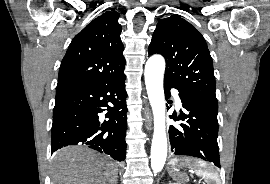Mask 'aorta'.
I'll list each match as a JSON object with an SVG mask.
<instances>
[{
	"label": "aorta",
	"instance_id": "1",
	"mask_svg": "<svg viewBox=\"0 0 270 184\" xmlns=\"http://www.w3.org/2000/svg\"><path fill=\"white\" fill-rule=\"evenodd\" d=\"M165 60L161 55L151 56L145 65V84L154 116V133L151 145V168L160 172L167 157V137L165 125V97L163 77Z\"/></svg>",
	"mask_w": 270,
	"mask_h": 184
}]
</instances>
